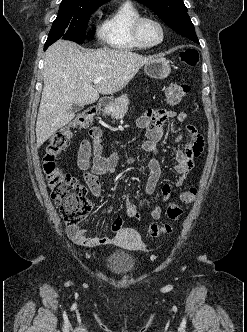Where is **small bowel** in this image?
Listing matches in <instances>:
<instances>
[{
    "mask_svg": "<svg viewBox=\"0 0 247 332\" xmlns=\"http://www.w3.org/2000/svg\"><path fill=\"white\" fill-rule=\"evenodd\" d=\"M187 114L183 111L176 112L167 109H150L144 115L135 121V125L140 128L146 137L142 144V150L150 154L147 159L146 168L149 172L145 187L147 195H152L158 185L161 176V167L157 158L158 143L163 137V126L167 121L176 119L180 122L185 121ZM186 131L190 137L189 142L183 150H178L175 154L176 165L174 166L178 178L175 180L176 187H182L186 181L187 175L193 167L194 159L203 151L204 140L202 135L193 125H188ZM102 131L98 128H92L89 131V139L82 141L78 152V168L81 170L83 178L88 185L92 195L96 199L102 196L99 176L112 174L118 163L119 157L116 153L109 156L102 154ZM179 135L177 140H180ZM133 158H129L126 164H132ZM172 191L170 184H164L161 189L160 199L166 201ZM111 210L110 206L103 209V214ZM126 211L129 218L140 219L141 213L138 207L127 199ZM162 215L160 206H156L151 211V217L155 220ZM69 239L77 245L84 247H101L110 245L114 242L113 237L109 236H90L88 231L78 225H69L67 227Z\"/></svg>",
    "mask_w": 247,
    "mask_h": 332,
    "instance_id": "c3829d8e",
    "label": "small bowel"
}]
</instances>
